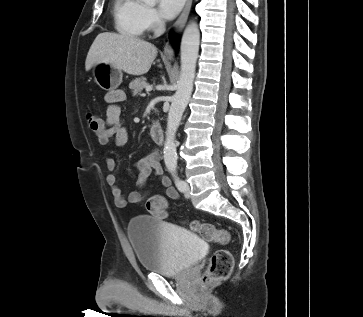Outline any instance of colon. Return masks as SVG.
Here are the masks:
<instances>
[{
    "instance_id": "1",
    "label": "colon",
    "mask_w": 363,
    "mask_h": 317,
    "mask_svg": "<svg viewBox=\"0 0 363 317\" xmlns=\"http://www.w3.org/2000/svg\"><path fill=\"white\" fill-rule=\"evenodd\" d=\"M86 120L89 129L95 133L100 134L104 130V122L101 117L88 113ZM148 212L159 219H165L167 216L165 200L159 197H153L146 201ZM192 230L198 232L204 239L210 242L219 244H226L229 236L226 230L218 228L211 223H201L192 221L190 223ZM233 257L229 251L220 249L215 251L210 260L206 271L202 276V286L209 287L215 282L227 279L233 269Z\"/></svg>"
}]
</instances>
